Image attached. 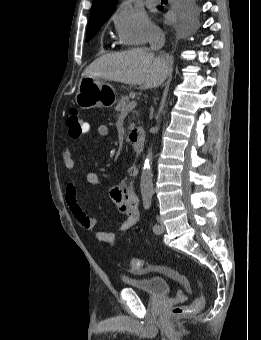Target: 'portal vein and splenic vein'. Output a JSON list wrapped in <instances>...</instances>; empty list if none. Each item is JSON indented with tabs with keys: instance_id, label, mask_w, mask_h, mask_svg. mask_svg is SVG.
<instances>
[{
	"instance_id": "obj_1",
	"label": "portal vein and splenic vein",
	"mask_w": 261,
	"mask_h": 340,
	"mask_svg": "<svg viewBox=\"0 0 261 340\" xmlns=\"http://www.w3.org/2000/svg\"><path fill=\"white\" fill-rule=\"evenodd\" d=\"M137 106V101L133 100L128 104V110L131 111Z\"/></svg>"
}]
</instances>
